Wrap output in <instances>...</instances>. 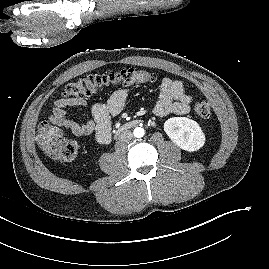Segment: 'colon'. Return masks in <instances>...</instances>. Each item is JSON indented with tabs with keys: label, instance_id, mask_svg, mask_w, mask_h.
I'll list each match as a JSON object with an SVG mask.
<instances>
[{
	"label": "colon",
	"instance_id": "5ec220e1",
	"mask_svg": "<svg viewBox=\"0 0 269 269\" xmlns=\"http://www.w3.org/2000/svg\"><path fill=\"white\" fill-rule=\"evenodd\" d=\"M156 79V75L148 71L126 68L104 74L82 76L68 83L62 94L67 99H85L109 86L153 83ZM195 112L200 118H208L211 115L210 103L208 101L197 103ZM37 140L42 149L54 159L71 161L77 156V142L64 137L51 122L44 121L39 124Z\"/></svg>",
	"mask_w": 269,
	"mask_h": 269
}]
</instances>
